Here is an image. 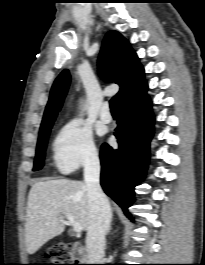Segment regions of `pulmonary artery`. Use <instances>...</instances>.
Returning a JSON list of instances; mask_svg holds the SVG:
<instances>
[{
  "mask_svg": "<svg viewBox=\"0 0 205 265\" xmlns=\"http://www.w3.org/2000/svg\"><path fill=\"white\" fill-rule=\"evenodd\" d=\"M100 118L105 123H109L112 120V115L110 113L109 104L107 102L103 103L101 107Z\"/></svg>",
  "mask_w": 205,
  "mask_h": 265,
  "instance_id": "pulmonary-artery-1",
  "label": "pulmonary artery"
}]
</instances>
